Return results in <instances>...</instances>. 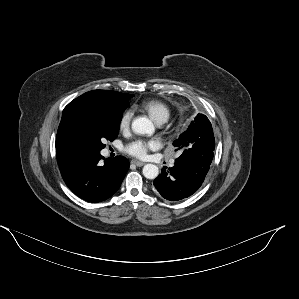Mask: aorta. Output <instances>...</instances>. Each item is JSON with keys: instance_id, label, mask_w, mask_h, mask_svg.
<instances>
[{"instance_id": "aorta-1", "label": "aorta", "mask_w": 299, "mask_h": 299, "mask_svg": "<svg viewBox=\"0 0 299 299\" xmlns=\"http://www.w3.org/2000/svg\"><path fill=\"white\" fill-rule=\"evenodd\" d=\"M132 130L138 135L151 136L155 131V127L150 119L146 117H139L133 120ZM158 174L159 169L154 164H146L143 167V175L147 179H155Z\"/></svg>"}]
</instances>
